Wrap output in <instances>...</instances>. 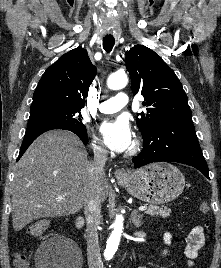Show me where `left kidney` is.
Here are the masks:
<instances>
[{
    "label": "left kidney",
    "mask_w": 221,
    "mask_h": 268,
    "mask_svg": "<svg viewBox=\"0 0 221 268\" xmlns=\"http://www.w3.org/2000/svg\"><path fill=\"white\" fill-rule=\"evenodd\" d=\"M163 239H164V243L165 244L170 245L171 244L172 235L170 233L166 232L164 234ZM166 253H167V251H164L163 252V254H166Z\"/></svg>",
    "instance_id": "1"
}]
</instances>
